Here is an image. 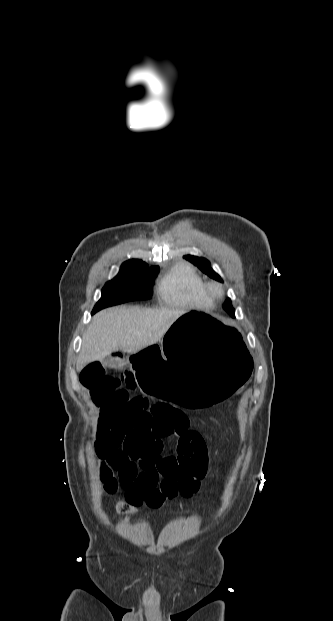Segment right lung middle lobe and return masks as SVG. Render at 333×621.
Returning a JSON list of instances; mask_svg holds the SVG:
<instances>
[{"instance_id": "dd1d6c3e", "label": "right lung middle lobe", "mask_w": 333, "mask_h": 621, "mask_svg": "<svg viewBox=\"0 0 333 621\" xmlns=\"http://www.w3.org/2000/svg\"><path fill=\"white\" fill-rule=\"evenodd\" d=\"M158 271L159 267L122 264L118 275L103 287L102 297L96 303L92 314L127 301L151 299L153 280Z\"/></svg>"}]
</instances>
